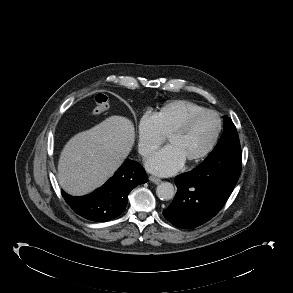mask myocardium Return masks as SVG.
I'll list each match as a JSON object with an SVG mask.
<instances>
[{
	"mask_svg": "<svg viewBox=\"0 0 293 293\" xmlns=\"http://www.w3.org/2000/svg\"><path fill=\"white\" fill-rule=\"evenodd\" d=\"M213 115L216 118L217 121V129L216 132L211 140V142L209 143V145L197 156H195L194 158L188 160L186 162L187 165H194L197 164L201 161H203L216 147L218 140L220 138L221 132H222V119L220 117V115L214 111V110H209V109H204L201 111H198L196 113H193L192 115H190L189 117H187L177 128H175L173 131H171L168 136L167 139L173 137V136H179L184 134L185 132H187L189 130V128L192 126V124L201 116L203 115Z\"/></svg>",
	"mask_w": 293,
	"mask_h": 293,
	"instance_id": "myocardium-1",
	"label": "myocardium"
}]
</instances>
